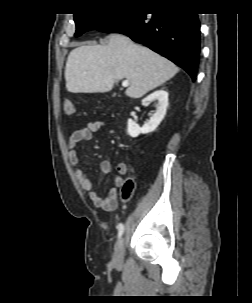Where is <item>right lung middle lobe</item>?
<instances>
[{
    "label": "right lung middle lobe",
    "instance_id": "right-lung-middle-lobe-1",
    "mask_svg": "<svg viewBox=\"0 0 252 303\" xmlns=\"http://www.w3.org/2000/svg\"><path fill=\"white\" fill-rule=\"evenodd\" d=\"M125 14L124 12L115 13H92V14H74L76 23L75 36H79L90 30H99L100 28L109 25L115 20L120 19Z\"/></svg>",
    "mask_w": 252,
    "mask_h": 303
}]
</instances>
